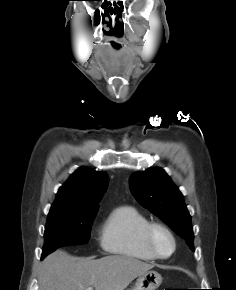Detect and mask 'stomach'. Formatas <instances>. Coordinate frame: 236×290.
<instances>
[{
	"mask_svg": "<svg viewBox=\"0 0 236 290\" xmlns=\"http://www.w3.org/2000/svg\"><path fill=\"white\" fill-rule=\"evenodd\" d=\"M162 283L161 275L156 271H147L140 275L131 290H156Z\"/></svg>",
	"mask_w": 236,
	"mask_h": 290,
	"instance_id": "0dacf381",
	"label": "stomach"
}]
</instances>
